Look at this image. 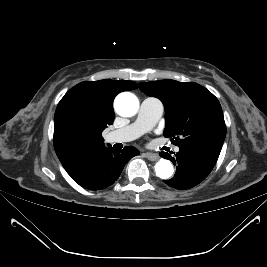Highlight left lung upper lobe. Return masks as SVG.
<instances>
[{"instance_id": "left-lung-upper-lobe-1", "label": "left lung upper lobe", "mask_w": 267, "mask_h": 267, "mask_svg": "<svg viewBox=\"0 0 267 267\" xmlns=\"http://www.w3.org/2000/svg\"><path fill=\"white\" fill-rule=\"evenodd\" d=\"M140 90L159 98L165 107L164 136L179 148L203 147L220 152L226 126L217 98L194 82H142Z\"/></svg>"}]
</instances>
